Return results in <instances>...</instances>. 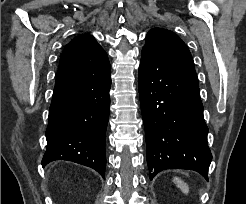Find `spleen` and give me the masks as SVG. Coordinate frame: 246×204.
Masks as SVG:
<instances>
[{"label":"spleen","mask_w":246,"mask_h":204,"mask_svg":"<svg viewBox=\"0 0 246 204\" xmlns=\"http://www.w3.org/2000/svg\"><path fill=\"white\" fill-rule=\"evenodd\" d=\"M173 182L176 184V186L181 189V191L184 194H188L189 193V185L184 182L181 178L179 177H174L173 178Z\"/></svg>","instance_id":"3e777b00"}]
</instances>
